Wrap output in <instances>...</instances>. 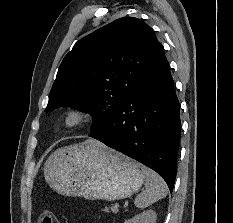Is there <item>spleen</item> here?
Listing matches in <instances>:
<instances>
[{
	"label": "spleen",
	"instance_id": "1",
	"mask_svg": "<svg viewBox=\"0 0 233 223\" xmlns=\"http://www.w3.org/2000/svg\"><path fill=\"white\" fill-rule=\"evenodd\" d=\"M145 177V189L135 197L134 203L137 207H148V205H152L158 199L165 197L168 191L163 177L155 173V171H152V169L145 167Z\"/></svg>",
	"mask_w": 233,
	"mask_h": 223
}]
</instances>
